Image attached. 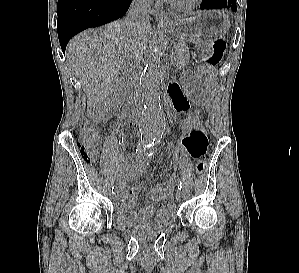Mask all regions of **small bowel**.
<instances>
[{
	"instance_id": "c3829d8e",
	"label": "small bowel",
	"mask_w": 299,
	"mask_h": 273,
	"mask_svg": "<svg viewBox=\"0 0 299 273\" xmlns=\"http://www.w3.org/2000/svg\"><path fill=\"white\" fill-rule=\"evenodd\" d=\"M170 102L172 108L177 113H185L189 110V102L176 84H172L169 89ZM182 146L193 159L201 158L207 150L208 140L205 131L199 127L193 130L188 136L182 137ZM149 162L146 154L134 157L128 163L120 164V181L118 183V205L119 208L140 219H149L153 216L155 209L151 202H159L158 215L166 216L173 214L176 206L172 201L175 190V176H170L161 185L152 189L145 197V204L136 208L135 197L139 192L136 186H129L128 182L139 177Z\"/></svg>"
}]
</instances>
